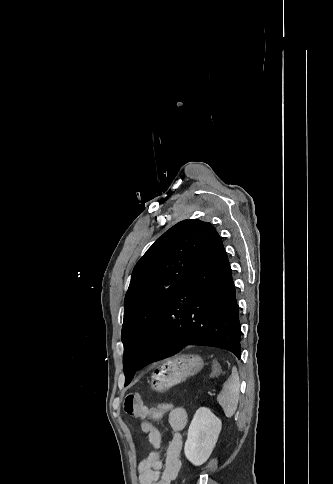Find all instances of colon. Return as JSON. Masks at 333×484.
<instances>
[{
	"label": "colon",
	"mask_w": 333,
	"mask_h": 484,
	"mask_svg": "<svg viewBox=\"0 0 333 484\" xmlns=\"http://www.w3.org/2000/svg\"><path fill=\"white\" fill-rule=\"evenodd\" d=\"M220 374V368L218 365H214L212 368V375L217 377ZM176 406L172 403H162L157 407H150V416L154 419H160L163 415L168 413L170 410L175 408Z\"/></svg>",
	"instance_id": "obj_1"
}]
</instances>
